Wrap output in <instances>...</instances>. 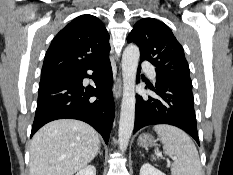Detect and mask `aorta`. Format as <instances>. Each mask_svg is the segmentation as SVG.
<instances>
[{"instance_id":"1","label":"aorta","mask_w":233,"mask_h":175,"mask_svg":"<svg viewBox=\"0 0 233 175\" xmlns=\"http://www.w3.org/2000/svg\"><path fill=\"white\" fill-rule=\"evenodd\" d=\"M139 57V48L134 44L128 45L122 55L123 96L118 130V142L122 152L126 150L134 128L135 84Z\"/></svg>"}]
</instances>
